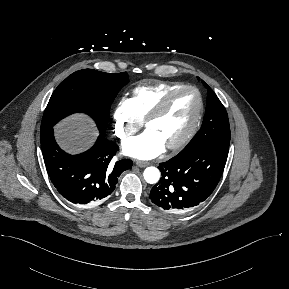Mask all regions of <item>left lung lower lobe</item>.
Instances as JSON below:
<instances>
[{
	"mask_svg": "<svg viewBox=\"0 0 289 289\" xmlns=\"http://www.w3.org/2000/svg\"><path fill=\"white\" fill-rule=\"evenodd\" d=\"M228 150L227 146L206 145L160 163L162 177L151 189V201L172 213L195 208L216 188Z\"/></svg>",
	"mask_w": 289,
	"mask_h": 289,
	"instance_id": "left-lung-lower-lobe-1",
	"label": "left lung lower lobe"
}]
</instances>
